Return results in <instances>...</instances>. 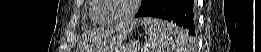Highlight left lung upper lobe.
I'll list each match as a JSON object with an SVG mask.
<instances>
[{"mask_svg":"<svg viewBox=\"0 0 261 52\" xmlns=\"http://www.w3.org/2000/svg\"><path fill=\"white\" fill-rule=\"evenodd\" d=\"M152 2H153V0H143V4H142V8L141 9H144L145 7L150 5Z\"/></svg>","mask_w":261,"mask_h":52,"instance_id":"left-lung-upper-lobe-1","label":"left lung upper lobe"}]
</instances>
